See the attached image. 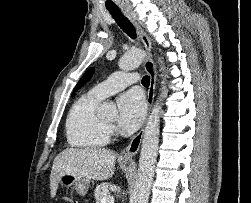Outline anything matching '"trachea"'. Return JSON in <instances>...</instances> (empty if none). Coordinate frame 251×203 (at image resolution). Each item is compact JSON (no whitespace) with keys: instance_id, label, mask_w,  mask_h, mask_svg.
<instances>
[{"instance_id":"1","label":"trachea","mask_w":251,"mask_h":203,"mask_svg":"<svg viewBox=\"0 0 251 203\" xmlns=\"http://www.w3.org/2000/svg\"><path fill=\"white\" fill-rule=\"evenodd\" d=\"M112 17L115 19L116 23L120 26V28L132 39H136V31L132 23L118 10H109ZM142 84L144 86H149L150 84V76H144L142 78Z\"/></svg>"}]
</instances>
